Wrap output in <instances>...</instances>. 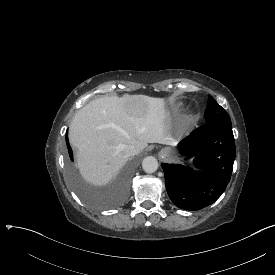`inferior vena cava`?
Listing matches in <instances>:
<instances>
[{
	"mask_svg": "<svg viewBox=\"0 0 275 275\" xmlns=\"http://www.w3.org/2000/svg\"><path fill=\"white\" fill-rule=\"evenodd\" d=\"M124 154L127 157H133V156L139 154V151L133 145H126L124 147Z\"/></svg>",
	"mask_w": 275,
	"mask_h": 275,
	"instance_id": "inferior-vena-cava-1",
	"label": "inferior vena cava"
}]
</instances>
